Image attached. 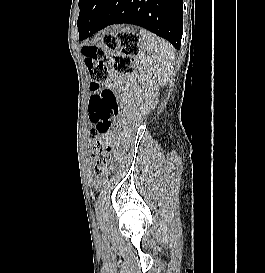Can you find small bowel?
Wrapping results in <instances>:
<instances>
[{"mask_svg":"<svg viewBox=\"0 0 265 273\" xmlns=\"http://www.w3.org/2000/svg\"><path fill=\"white\" fill-rule=\"evenodd\" d=\"M106 87H107L108 89H110V88L112 87V84L108 83V84L106 85ZM94 140H96V137L94 138Z\"/></svg>","mask_w":265,"mask_h":273,"instance_id":"obj_1","label":"small bowel"}]
</instances>
